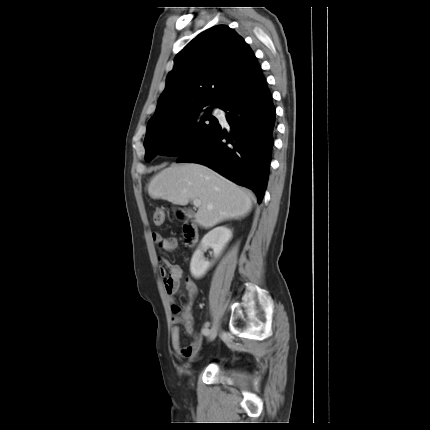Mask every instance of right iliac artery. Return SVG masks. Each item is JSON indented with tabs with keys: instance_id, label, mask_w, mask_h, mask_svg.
<instances>
[{
	"instance_id": "82829eb1",
	"label": "right iliac artery",
	"mask_w": 430,
	"mask_h": 430,
	"mask_svg": "<svg viewBox=\"0 0 430 430\" xmlns=\"http://www.w3.org/2000/svg\"><path fill=\"white\" fill-rule=\"evenodd\" d=\"M209 331H210L209 329L204 330L203 331L204 335H208Z\"/></svg>"
}]
</instances>
